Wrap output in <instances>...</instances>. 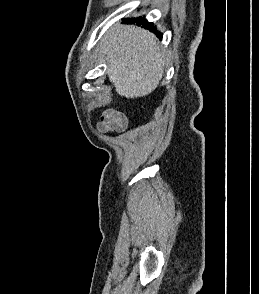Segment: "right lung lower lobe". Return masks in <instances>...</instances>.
Here are the masks:
<instances>
[{
	"mask_svg": "<svg viewBox=\"0 0 259 294\" xmlns=\"http://www.w3.org/2000/svg\"><path fill=\"white\" fill-rule=\"evenodd\" d=\"M131 23H137V25H142L146 29H150V31H154L155 34L159 37L162 38V34L157 32L156 28L152 23H149L145 18L139 17V18H134L130 20Z\"/></svg>",
	"mask_w": 259,
	"mask_h": 294,
	"instance_id": "1",
	"label": "right lung lower lobe"
}]
</instances>
